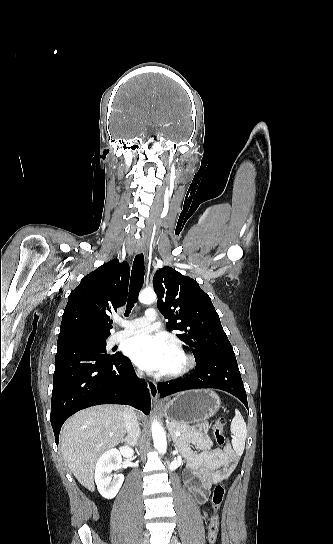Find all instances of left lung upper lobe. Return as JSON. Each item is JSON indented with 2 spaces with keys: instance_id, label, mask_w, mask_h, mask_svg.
<instances>
[{
  "instance_id": "left-lung-upper-lobe-1",
  "label": "left lung upper lobe",
  "mask_w": 333,
  "mask_h": 544,
  "mask_svg": "<svg viewBox=\"0 0 333 544\" xmlns=\"http://www.w3.org/2000/svg\"><path fill=\"white\" fill-rule=\"evenodd\" d=\"M157 307L166 323L194 354L195 360L215 353L234 354L220 318L199 284L171 267L159 269L153 278Z\"/></svg>"
}]
</instances>
